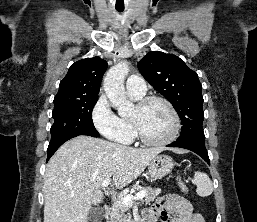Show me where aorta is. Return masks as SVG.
Returning a JSON list of instances; mask_svg holds the SVG:
<instances>
[{"instance_id":"1","label":"aorta","mask_w":257,"mask_h":222,"mask_svg":"<svg viewBox=\"0 0 257 222\" xmlns=\"http://www.w3.org/2000/svg\"><path fill=\"white\" fill-rule=\"evenodd\" d=\"M128 72V63L123 61L111 67L103 80L106 96L120 115L130 113L134 107L133 103L125 96L124 80Z\"/></svg>"}]
</instances>
